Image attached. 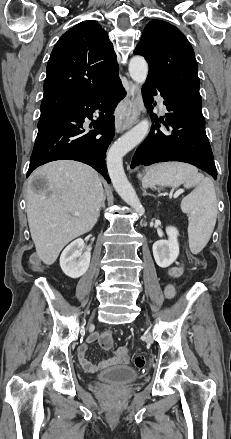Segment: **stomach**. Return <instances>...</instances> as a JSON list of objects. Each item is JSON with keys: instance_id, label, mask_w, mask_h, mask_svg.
Masks as SVG:
<instances>
[{"instance_id": "0dacf381", "label": "stomach", "mask_w": 231, "mask_h": 439, "mask_svg": "<svg viewBox=\"0 0 231 439\" xmlns=\"http://www.w3.org/2000/svg\"><path fill=\"white\" fill-rule=\"evenodd\" d=\"M162 187H163V185H161V184H159V187H155V185L152 186V188H154V189H156V190H160Z\"/></svg>"}]
</instances>
